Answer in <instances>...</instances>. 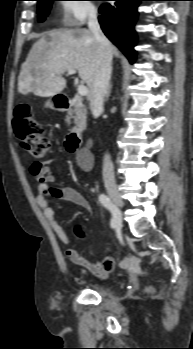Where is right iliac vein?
Instances as JSON below:
<instances>
[{
    "instance_id": "obj_1",
    "label": "right iliac vein",
    "mask_w": 193,
    "mask_h": 349,
    "mask_svg": "<svg viewBox=\"0 0 193 349\" xmlns=\"http://www.w3.org/2000/svg\"><path fill=\"white\" fill-rule=\"evenodd\" d=\"M107 193L116 207V216L117 217L115 220V224H116V226L121 227L122 226V211L121 210L124 206L123 199L119 195L116 188H113V187L108 188Z\"/></svg>"
}]
</instances>
